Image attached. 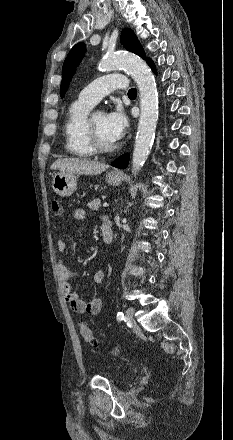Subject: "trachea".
<instances>
[{"instance_id":"trachea-1","label":"trachea","mask_w":233,"mask_h":440,"mask_svg":"<svg viewBox=\"0 0 233 440\" xmlns=\"http://www.w3.org/2000/svg\"><path fill=\"white\" fill-rule=\"evenodd\" d=\"M136 94H137V91H136L135 88H131V89L128 91V96H136Z\"/></svg>"}]
</instances>
